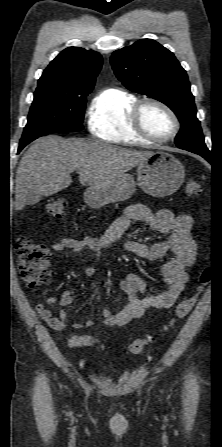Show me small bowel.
<instances>
[{"instance_id": "small-bowel-1", "label": "small bowel", "mask_w": 222, "mask_h": 447, "mask_svg": "<svg viewBox=\"0 0 222 447\" xmlns=\"http://www.w3.org/2000/svg\"><path fill=\"white\" fill-rule=\"evenodd\" d=\"M132 221H142L154 231L168 233L169 237L166 241L153 245L129 241L125 244L127 252L146 260L160 259L167 251L173 252L175 257L163 265L161 273L165 289L155 294L141 297L140 294L144 291L143 278L135 273L126 274L119 283L126 296V305L117 313L106 308L101 311L103 324L108 327H123L131 320L143 317L149 310H164L173 306L188 282L189 270L194 266L198 255L197 244L191 235L193 226L191 215L186 213L175 215L167 208L154 212L147 205L136 203L129 206L101 238L64 237L51 245V249L56 253L66 250L82 252L88 249L100 258L104 251L127 231ZM84 273L88 278H94L97 270L92 264H86ZM75 295L74 290L66 289L49 299L48 303L56 301L61 306H69L73 303ZM35 310L54 330L65 331L70 327L67 322L68 313L64 309L59 311L58 316H53L45 303H38ZM93 325V320H87L84 323H74L72 327L81 329ZM95 342L96 340L89 335H74L69 339L71 347H93Z\"/></svg>"}]
</instances>
